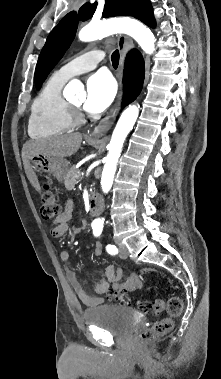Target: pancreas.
Returning <instances> with one entry per match:
<instances>
[{
  "mask_svg": "<svg viewBox=\"0 0 221 379\" xmlns=\"http://www.w3.org/2000/svg\"><path fill=\"white\" fill-rule=\"evenodd\" d=\"M80 178V170H77L75 168H70L64 178V184L65 187L68 190H71L74 188V186L77 184V180Z\"/></svg>",
  "mask_w": 221,
  "mask_h": 379,
  "instance_id": "obj_1",
  "label": "pancreas"
}]
</instances>
